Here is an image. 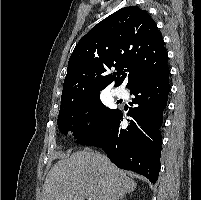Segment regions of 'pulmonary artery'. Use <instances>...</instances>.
<instances>
[{
    "label": "pulmonary artery",
    "mask_w": 201,
    "mask_h": 200,
    "mask_svg": "<svg viewBox=\"0 0 201 200\" xmlns=\"http://www.w3.org/2000/svg\"><path fill=\"white\" fill-rule=\"evenodd\" d=\"M112 94L121 99L124 98L126 96V91L123 88H115L112 90Z\"/></svg>",
    "instance_id": "obj_1"
}]
</instances>
